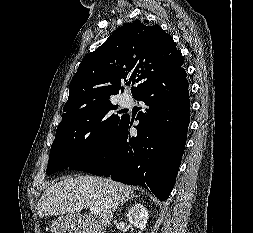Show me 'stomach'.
<instances>
[{
    "mask_svg": "<svg viewBox=\"0 0 253 233\" xmlns=\"http://www.w3.org/2000/svg\"><path fill=\"white\" fill-rule=\"evenodd\" d=\"M75 221V216L71 215L59 218L53 224L54 229L57 231L55 233H73L72 231L76 230Z\"/></svg>",
    "mask_w": 253,
    "mask_h": 233,
    "instance_id": "0dacf381",
    "label": "stomach"
}]
</instances>
